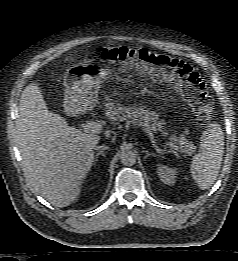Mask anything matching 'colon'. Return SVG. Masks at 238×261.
Returning <instances> with one entry per match:
<instances>
[{
	"label": "colon",
	"mask_w": 238,
	"mask_h": 261,
	"mask_svg": "<svg viewBox=\"0 0 238 261\" xmlns=\"http://www.w3.org/2000/svg\"><path fill=\"white\" fill-rule=\"evenodd\" d=\"M100 57L105 62L133 68L171 82L199 121L208 122L213 117V101L204 81L198 72L183 60L144 48L128 47H105Z\"/></svg>",
	"instance_id": "1"
}]
</instances>
